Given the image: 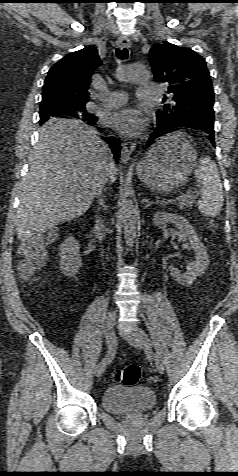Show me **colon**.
Returning <instances> with one entry per match:
<instances>
[{
    "instance_id": "5ec220e1",
    "label": "colon",
    "mask_w": 238,
    "mask_h": 476,
    "mask_svg": "<svg viewBox=\"0 0 238 476\" xmlns=\"http://www.w3.org/2000/svg\"><path fill=\"white\" fill-rule=\"evenodd\" d=\"M20 252L22 258L18 264V274L21 279L26 280L41 266L45 247L42 242L34 240L24 244ZM140 378L141 370L137 365H129L113 373L114 382L123 385H135Z\"/></svg>"
}]
</instances>
